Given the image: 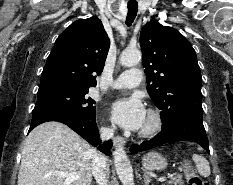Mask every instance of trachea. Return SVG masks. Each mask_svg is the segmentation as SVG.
<instances>
[{
    "label": "trachea",
    "instance_id": "1",
    "mask_svg": "<svg viewBox=\"0 0 233 185\" xmlns=\"http://www.w3.org/2000/svg\"><path fill=\"white\" fill-rule=\"evenodd\" d=\"M138 4L137 3H128V13L126 17V25L131 26L134 19L137 16Z\"/></svg>",
    "mask_w": 233,
    "mask_h": 185
}]
</instances>
